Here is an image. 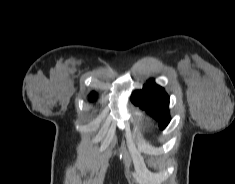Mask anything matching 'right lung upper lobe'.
<instances>
[{
    "label": "right lung upper lobe",
    "instance_id": "cb5924a9",
    "mask_svg": "<svg viewBox=\"0 0 235 184\" xmlns=\"http://www.w3.org/2000/svg\"><path fill=\"white\" fill-rule=\"evenodd\" d=\"M96 98V94L93 92V93H91V95H90V100H94Z\"/></svg>",
    "mask_w": 235,
    "mask_h": 184
}]
</instances>
